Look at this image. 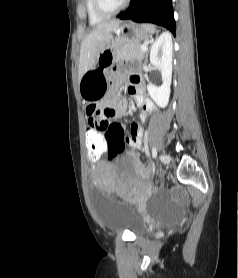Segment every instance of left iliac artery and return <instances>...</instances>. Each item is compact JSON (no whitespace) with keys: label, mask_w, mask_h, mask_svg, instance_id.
Wrapping results in <instances>:
<instances>
[{"label":"left iliac artery","mask_w":238,"mask_h":278,"mask_svg":"<svg viewBox=\"0 0 238 278\" xmlns=\"http://www.w3.org/2000/svg\"><path fill=\"white\" fill-rule=\"evenodd\" d=\"M152 156H153V158H156V156H157V150L155 147L152 148Z\"/></svg>","instance_id":"left-iliac-artery-1"}]
</instances>
